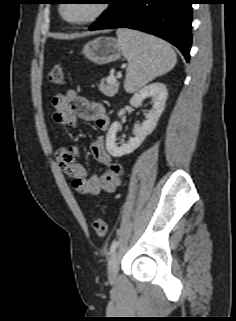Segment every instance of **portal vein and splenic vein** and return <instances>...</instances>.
Instances as JSON below:
<instances>
[{
  "mask_svg": "<svg viewBox=\"0 0 236 321\" xmlns=\"http://www.w3.org/2000/svg\"><path fill=\"white\" fill-rule=\"evenodd\" d=\"M114 80H115V76L114 75H110L108 81L110 82V81H114Z\"/></svg>",
  "mask_w": 236,
  "mask_h": 321,
  "instance_id": "1",
  "label": "portal vein and splenic vein"
}]
</instances>
